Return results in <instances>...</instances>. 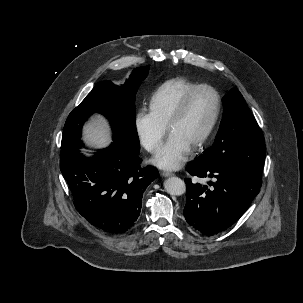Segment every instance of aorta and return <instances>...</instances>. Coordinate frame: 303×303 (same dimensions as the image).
Returning a JSON list of instances; mask_svg holds the SVG:
<instances>
[{
  "instance_id": "762f6f07",
  "label": "aorta",
  "mask_w": 303,
  "mask_h": 303,
  "mask_svg": "<svg viewBox=\"0 0 303 303\" xmlns=\"http://www.w3.org/2000/svg\"><path fill=\"white\" fill-rule=\"evenodd\" d=\"M164 188L170 195L180 196L186 191L185 182L178 177H170L164 181Z\"/></svg>"
}]
</instances>
